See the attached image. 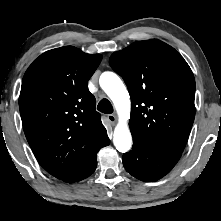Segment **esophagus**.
I'll return each mask as SVG.
<instances>
[{"label":"esophagus","mask_w":221,"mask_h":221,"mask_svg":"<svg viewBox=\"0 0 221 221\" xmlns=\"http://www.w3.org/2000/svg\"><path fill=\"white\" fill-rule=\"evenodd\" d=\"M107 119L111 124H115L117 122V117L114 114H109Z\"/></svg>","instance_id":"34e87169"}]
</instances>
